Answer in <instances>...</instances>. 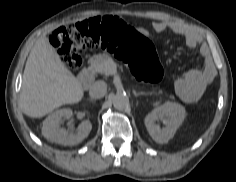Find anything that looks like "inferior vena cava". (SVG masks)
Returning a JSON list of instances; mask_svg holds the SVG:
<instances>
[{
  "instance_id": "602c4592",
  "label": "inferior vena cava",
  "mask_w": 236,
  "mask_h": 182,
  "mask_svg": "<svg viewBox=\"0 0 236 182\" xmlns=\"http://www.w3.org/2000/svg\"><path fill=\"white\" fill-rule=\"evenodd\" d=\"M106 92H107V85L103 81L94 82L89 91L90 96L96 99L104 97Z\"/></svg>"
}]
</instances>
